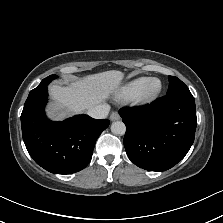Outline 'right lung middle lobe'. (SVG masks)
Instances as JSON below:
<instances>
[{
    "label": "right lung middle lobe",
    "instance_id": "right-lung-middle-lobe-1",
    "mask_svg": "<svg viewBox=\"0 0 223 223\" xmlns=\"http://www.w3.org/2000/svg\"><path fill=\"white\" fill-rule=\"evenodd\" d=\"M55 78H57V75H50V76L46 77L45 79H43L41 81V83L35 89H33V91L39 90L42 87L48 85L51 82V80H53Z\"/></svg>",
    "mask_w": 223,
    "mask_h": 223
}]
</instances>
